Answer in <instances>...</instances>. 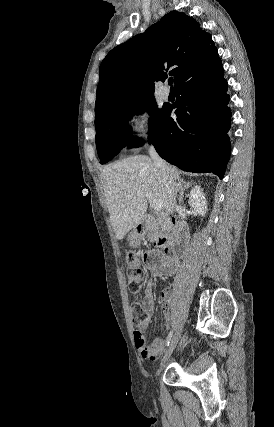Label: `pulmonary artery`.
<instances>
[{"instance_id": "obj_1", "label": "pulmonary artery", "mask_w": 274, "mask_h": 427, "mask_svg": "<svg viewBox=\"0 0 274 427\" xmlns=\"http://www.w3.org/2000/svg\"><path fill=\"white\" fill-rule=\"evenodd\" d=\"M159 94H160V98L162 100H167L169 98V95H170V90L167 86L163 85L159 89Z\"/></svg>"}]
</instances>
